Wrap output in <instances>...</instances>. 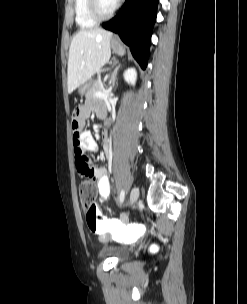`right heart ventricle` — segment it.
<instances>
[{"instance_id": "e07e8e85", "label": "right heart ventricle", "mask_w": 247, "mask_h": 304, "mask_svg": "<svg viewBox=\"0 0 247 304\" xmlns=\"http://www.w3.org/2000/svg\"><path fill=\"white\" fill-rule=\"evenodd\" d=\"M74 9L75 21L80 28H92L97 24V22L89 16L87 0H75Z\"/></svg>"}]
</instances>
